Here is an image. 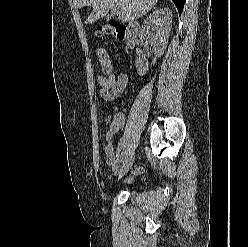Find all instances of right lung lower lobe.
I'll return each mask as SVG.
<instances>
[{"label": "right lung lower lobe", "mask_w": 248, "mask_h": 247, "mask_svg": "<svg viewBox=\"0 0 248 247\" xmlns=\"http://www.w3.org/2000/svg\"><path fill=\"white\" fill-rule=\"evenodd\" d=\"M172 1L175 3L179 14H181L183 11L185 0H172Z\"/></svg>", "instance_id": "right-lung-lower-lobe-1"}]
</instances>
